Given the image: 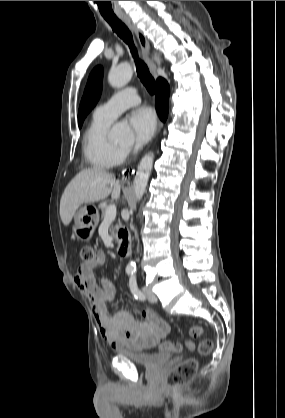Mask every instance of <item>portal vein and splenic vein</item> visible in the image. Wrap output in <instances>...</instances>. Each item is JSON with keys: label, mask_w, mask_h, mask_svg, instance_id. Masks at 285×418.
<instances>
[{"label": "portal vein and splenic vein", "mask_w": 285, "mask_h": 418, "mask_svg": "<svg viewBox=\"0 0 285 418\" xmlns=\"http://www.w3.org/2000/svg\"><path fill=\"white\" fill-rule=\"evenodd\" d=\"M116 217V206L110 204L105 212L104 221H113Z\"/></svg>", "instance_id": "obj_1"}]
</instances>
